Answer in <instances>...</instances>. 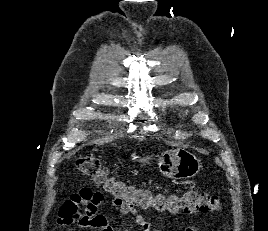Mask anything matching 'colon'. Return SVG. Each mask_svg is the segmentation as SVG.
I'll use <instances>...</instances> for the list:
<instances>
[{"label":"colon","mask_w":268,"mask_h":231,"mask_svg":"<svg viewBox=\"0 0 268 231\" xmlns=\"http://www.w3.org/2000/svg\"><path fill=\"white\" fill-rule=\"evenodd\" d=\"M77 169L89 177L114 204L122 211L133 207L141 209L152 208L158 212H179L187 214L211 213L221 210L217 196L197 191H185L182 194L153 193L149 189L127 185L111 176L104 164L96 157L83 156L76 161ZM88 192L81 191L85 197Z\"/></svg>","instance_id":"colon-1"}]
</instances>
